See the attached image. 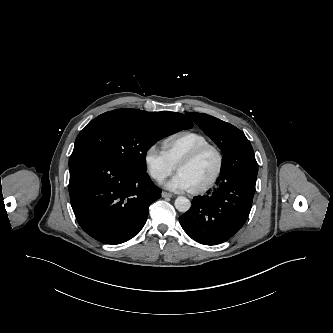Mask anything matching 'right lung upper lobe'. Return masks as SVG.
I'll return each instance as SVG.
<instances>
[{"mask_svg": "<svg viewBox=\"0 0 333 333\" xmlns=\"http://www.w3.org/2000/svg\"><path fill=\"white\" fill-rule=\"evenodd\" d=\"M119 110H126L129 112H132L136 115H139L140 117L144 119H148L151 121H156V122H163L165 120L169 119H175L179 122H182L186 124L187 126H193L192 121L185 115L181 113H176V112H146L142 110H137V109H119Z\"/></svg>", "mask_w": 333, "mask_h": 333, "instance_id": "right-lung-upper-lobe-1", "label": "right lung upper lobe"}]
</instances>
